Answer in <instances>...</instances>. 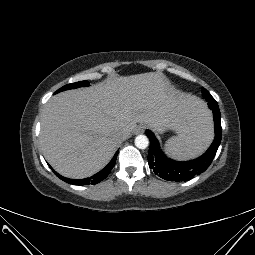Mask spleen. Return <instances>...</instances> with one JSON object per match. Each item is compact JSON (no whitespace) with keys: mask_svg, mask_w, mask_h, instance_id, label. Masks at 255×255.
<instances>
[{"mask_svg":"<svg viewBox=\"0 0 255 255\" xmlns=\"http://www.w3.org/2000/svg\"><path fill=\"white\" fill-rule=\"evenodd\" d=\"M213 139L212 116L205 107L200 109L196 121L184 132L170 138L165 144L168 155L177 159H189L202 154Z\"/></svg>","mask_w":255,"mask_h":255,"instance_id":"1","label":"spleen"}]
</instances>
